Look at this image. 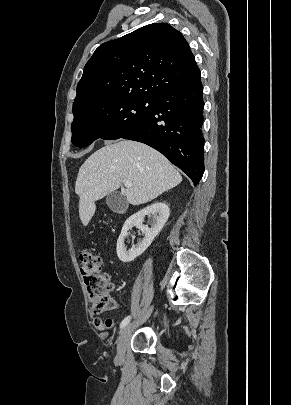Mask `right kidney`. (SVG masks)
Masks as SVG:
<instances>
[{"label":"right kidney","mask_w":291,"mask_h":405,"mask_svg":"<svg viewBox=\"0 0 291 405\" xmlns=\"http://www.w3.org/2000/svg\"><path fill=\"white\" fill-rule=\"evenodd\" d=\"M146 215L152 216L156 222L151 228L143 225L144 217ZM169 218V208L163 202L154 203L136 214L130 216L123 225L121 234L117 240V255L118 258L128 263L133 261L136 257L140 256L152 243L154 238L159 234ZM134 226L138 227L144 233V239L137 245H133L128 251L124 246V239L128 236L129 230Z\"/></svg>","instance_id":"1"}]
</instances>
